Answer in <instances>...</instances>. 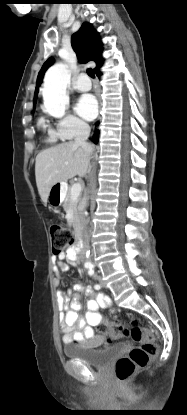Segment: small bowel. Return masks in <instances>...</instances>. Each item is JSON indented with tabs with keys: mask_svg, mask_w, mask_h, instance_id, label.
I'll use <instances>...</instances> for the list:
<instances>
[{
	"mask_svg": "<svg viewBox=\"0 0 187 415\" xmlns=\"http://www.w3.org/2000/svg\"><path fill=\"white\" fill-rule=\"evenodd\" d=\"M67 257L69 256L63 253L54 258L56 273L69 270V265L65 262ZM56 282H59L58 278H56ZM94 288L77 283L73 289L68 291L67 295L62 292L57 294L60 310L59 323L64 344H77L92 350L99 349L104 345L105 337L95 334L93 328L102 321L99 309L108 307L111 301L108 296L97 293ZM79 293H85L90 298L87 301L85 319L78 315L81 308Z\"/></svg>",
	"mask_w": 187,
	"mask_h": 415,
	"instance_id": "1",
	"label": "small bowel"
}]
</instances>
